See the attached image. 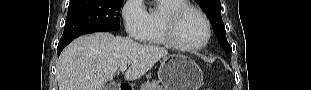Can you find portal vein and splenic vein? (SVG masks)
Instances as JSON below:
<instances>
[{
  "instance_id": "portal-vein-and-splenic-vein-1",
  "label": "portal vein and splenic vein",
  "mask_w": 311,
  "mask_h": 90,
  "mask_svg": "<svg viewBox=\"0 0 311 90\" xmlns=\"http://www.w3.org/2000/svg\"><path fill=\"white\" fill-rule=\"evenodd\" d=\"M126 69H127V66H126V65L121 66V67L119 68V70H120L121 72L126 71Z\"/></svg>"
}]
</instances>
